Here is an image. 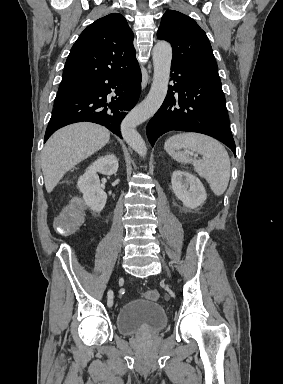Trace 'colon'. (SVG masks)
Instances as JSON below:
<instances>
[{
	"label": "colon",
	"instance_id": "1",
	"mask_svg": "<svg viewBox=\"0 0 283 384\" xmlns=\"http://www.w3.org/2000/svg\"><path fill=\"white\" fill-rule=\"evenodd\" d=\"M82 213L78 207H70L56 221L57 230L61 233H72L81 223ZM142 296L151 301L160 299V293L157 290H147Z\"/></svg>",
	"mask_w": 283,
	"mask_h": 384
}]
</instances>
